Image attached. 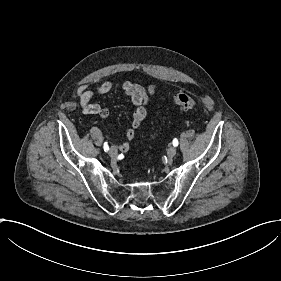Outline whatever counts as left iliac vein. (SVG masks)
<instances>
[{"instance_id":"1","label":"left iliac vein","mask_w":281,"mask_h":281,"mask_svg":"<svg viewBox=\"0 0 281 281\" xmlns=\"http://www.w3.org/2000/svg\"><path fill=\"white\" fill-rule=\"evenodd\" d=\"M177 148L176 147H169L168 149H167V154H168V156L169 157H174L175 156V154L177 153Z\"/></svg>"}]
</instances>
